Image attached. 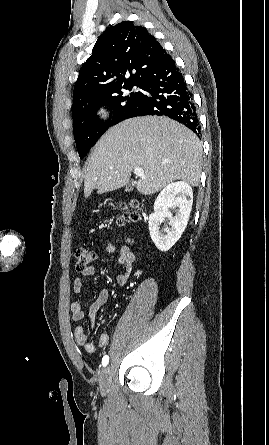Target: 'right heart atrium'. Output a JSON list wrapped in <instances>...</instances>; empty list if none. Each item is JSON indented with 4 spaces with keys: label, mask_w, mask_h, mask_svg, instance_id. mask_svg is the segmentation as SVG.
Here are the masks:
<instances>
[{
    "label": "right heart atrium",
    "mask_w": 269,
    "mask_h": 445,
    "mask_svg": "<svg viewBox=\"0 0 269 445\" xmlns=\"http://www.w3.org/2000/svg\"><path fill=\"white\" fill-rule=\"evenodd\" d=\"M111 113H112V111H111L110 106H108L106 104L99 105L96 108V112H95L96 117L102 121H107L110 118Z\"/></svg>",
    "instance_id": "obj_1"
}]
</instances>
